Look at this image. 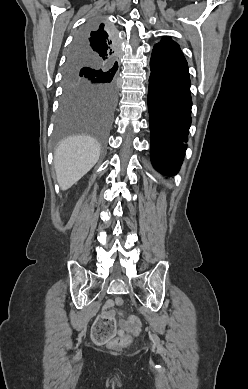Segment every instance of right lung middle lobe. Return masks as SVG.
<instances>
[{"instance_id":"right-lung-middle-lobe-1","label":"right lung middle lobe","mask_w":248,"mask_h":389,"mask_svg":"<svg viewBox=\"0 0 248 389\" xmlns=\"http://www.w3.org/2000/svg\"><path fill=\"white\" fill-rule=\"evenodd\" d=\"M101 24L98 18L90 20L74 43ZM116 71L108 63L71 48L64 70V95L54 136L56 142L73 134L86 133L105 146L117 99Z\"/></svg>"}]
</instances>
